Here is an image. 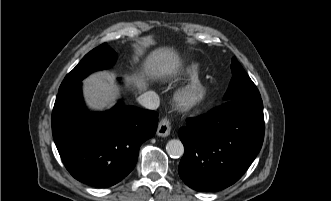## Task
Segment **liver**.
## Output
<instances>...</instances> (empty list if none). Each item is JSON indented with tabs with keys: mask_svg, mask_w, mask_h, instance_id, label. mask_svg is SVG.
I'll use <instances>...</instances> for the list:
<instances>
[{
	"mask_svg": "<svg viewBox=\"0 0 331 201\" xmlns=\"http://www.w3.org/2000/svg\"><path fill=\"white\" fill-rule=\"evenodd\" d=\"M181 62L178 54L171 48H158L152 51L144 62V72L141 75L129 77V81L139 89L146 86L145 76L150 78H165L178 72ZM114 76L108 72H97L83 81L84 96L89 106L102 110L109 108L117 96V86Z\"/></svg>",
	"mask_w": 331,
	"mask_h": 201,
	"instance_id": "6515ba94",
	"label": "liver"
}]
</instances>
